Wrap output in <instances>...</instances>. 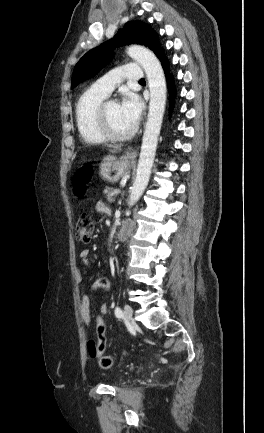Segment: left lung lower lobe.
Returning <instances> with one entry per match:
<instances>
[{
	"label": "left lung lower lobe",
	"instance_id": "left-lung-lower-lobe-1",
	"mask_svg": "<svg viewBox=\"0 0 264 433\" xmlns=\"http://www.w3.org/2000/svg\"><path fill=\"white\" fill-rule=\"evenodd\" d=\"M159 59L161 61V64H162V67L164 69L165 76L167 79V84H168V89H169V94H170V96H169V101H170L169 110L171 113V110L173 108V102H174L173 99L175 96L174 78H173V75L171 73H169V62H168V59L165 57V55H162Z\"/></svg>",
	"mask_w": 264,
	"mask_h": 433
}]
</instances>
